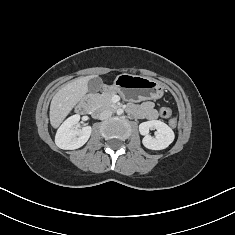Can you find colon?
I'll use <instances>...</instances> for the list:
<instances>
[{"mask_svg":"<svg viewBox=\"0 0 235 235\" xmlns=\"http://www.w3.org/2000/svg\"><path fill=\"white\" fill-rule=\"evenodd\" d=\"M160 115L163 117V118H169L171 115H172V108L170 106H163L161 109H160ZM170 125L172 127H175L176 126V121L175 120H171L170 121Z\"/></svg>","mask_w":235,"mask_h":235,"instance_id":"colon-1","label":"colon"}]
</instances>
